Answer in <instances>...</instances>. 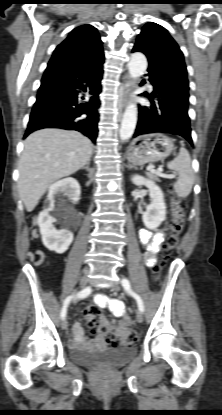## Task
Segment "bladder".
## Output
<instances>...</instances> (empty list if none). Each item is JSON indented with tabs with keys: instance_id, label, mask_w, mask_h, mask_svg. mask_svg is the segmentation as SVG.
Listing matches in <instances>:
<instances>
[{
	"instance_id": "obj_1",
	"label": "bladder",
	"mask_w": 222,
	"mask_h": 415,
	"mask_svg": "<svg viewBox=\"0 0 222 415\" xmlns=\"http://www.w3.org/2000/svg\"><path fill=\"white\" fill-rule=\"evenodd\" d=\"M137 355L135 345L122 347H109L99 350L80 349L71 347L68 351L70 361L79 365H106L112 367L122 366Z\"/></svg>"
}]
</instances>
